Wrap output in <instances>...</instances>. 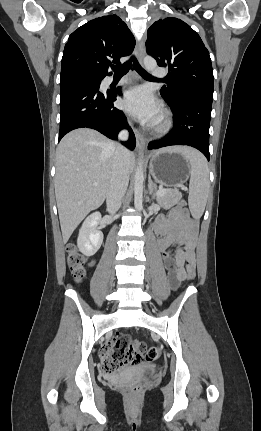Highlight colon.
I'll return each instance as SVG.
<instances>
[{"mask_svg":"<svg viewBox=\"0 0 261 431\" xmlns=\"http://www.w3.org/2000/svg\"><path fill=\"white\" fill-rule=\"evenodd\" d=\"M181 208H185L186 202L179 203ZM67 262L73 277L80 281L86 275V259L80 253L75 244L67 245ZM188 279H193L195 276L193 265L187 262ZM140 343L134 341L128 334H120L111 342V350L105 354L102 363L103 371L108 375L119 373L125 366L136 365L144 359L147 362L156 360L160 355V345L157 343L154 347H149L146 354H141L139 349ZM140 391L139 386H134L130 389L132 395Z\"/></svg>","mask_w":261,"mask_h":431,"instance_id":"obj_1","label":"colon"}]
</instances>
